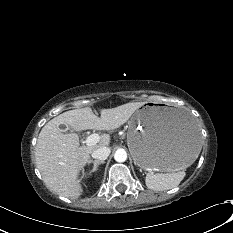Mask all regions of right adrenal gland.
I'll return each instance as SVG.
<instances>
[{"mask_svg": "<svg viewBox=\"0 0 233 233\" xmlns=\"http://www.w3.org/2000/svg\"><path fill=\"white\" fill-rule=\"evenodd\" d=\"M88 163H93V169H92V172L96 171L97 170V167L100 165V164H104L105 162L104 161H98V160H89Z\"/></svg>", "mask_w": 233, "mask_h": 233, "instance_id": "1", "label": "right adrenal gland"}]
</instances>
